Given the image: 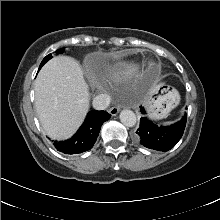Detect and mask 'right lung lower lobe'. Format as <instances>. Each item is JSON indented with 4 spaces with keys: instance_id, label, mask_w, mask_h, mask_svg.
<instances>
[{
    "instance_id": "obj_1",
    "label": "right lung lower lobe",
    "mask_w": 220,
    "mask_h": 220,
    "mask_svg": "<svg viewBox=\"0 0 220 220\" xmlns=\"http://www.w3.org/2000/svg\"><path fill=\"white\" fill-rule=\"evenodd\" d=\"M105 111L92 110L88 113L83 125L69 140L54 142L56 149L65 154H76L91 149L99 135L101 125L110 119Z\"/></svg>"
}]
</instances>
